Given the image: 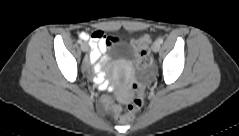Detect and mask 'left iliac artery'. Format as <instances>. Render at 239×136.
Masks as SVG:
<instances>
[{
  "label": "left iliac artery",
  "mask_w": 239,
  "mask_h": 136,
  "mask_svg": "<svg viewBox=\"0 0 239 136\" xmlns=\"http://www.w3.org/2000/svg\"><path fill=\"white\" fill-rule=\"evenodd\" d=\"M158 42H159L160 44H162V43H163V38H159V39H158Z\"/></svg>",
  "instance_id": "left-iliac-artery-1"
}]
</instances>
